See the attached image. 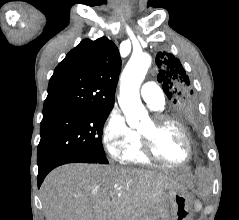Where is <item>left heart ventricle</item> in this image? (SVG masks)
Listing matches in <instances>:
<instances>
[{"instance_id":"1","label":"left heart ventricle","mask_w":239,"mask_h":220,"mask_svg":"<svg viewBox=\"0 0 239 220\" xmlns=\"http://www.w3.org/2000/svg\"><path fill=\"white\" fill-rule=\"evenodd\" d=\"M139 130L153 137L155 148L162 157L178 162L185 159L187 147L181 131L174 125L155 128L150 118L146 119Z\"/></svg>"}]
</instances>
